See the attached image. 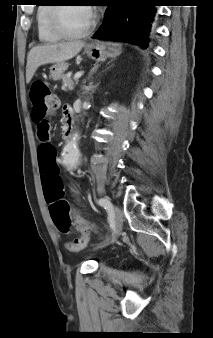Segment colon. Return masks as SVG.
<instances>
[{"label":"colon","instance_id":"obj_1","mask_svg":"<svg viewBox=\"0 0 213 338\" xmlns=\"http://www.w3.org/2000/svg\"><path fill=\"white\" fill-rule=\"evenodd\" d=\"M29 98L32 120L37 125L36 135L42 142H49L51 139V128L49 123H45L44 120L57 111L58 104L48 82L45 80L34 82L30 89ZM41 151L46 157H50L56 152V149L52 146H43ZM69 211L70 207L66 201L56 203L51 207L52 218L59 227L67 225ZM91 229L92 227L90 226L85 227L82 235L67 243L66 248L70 252H79L84 249L89 241Z\"/></svg>","mask_w":213,"mask_h":338}]
</instances>
